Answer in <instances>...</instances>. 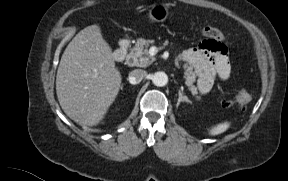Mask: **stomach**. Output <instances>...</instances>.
Listing matches in <instances>:
<instances>
[{
  "instance_id": "obj_1",
  "label": "stomach",
  "mask_w": 288,
  "mask_h": 181,
  "mask_svg": "<svg viewBox=\"0 0 288 181\" xmlns=\"http://www.w3.org/2000/svg\"><path fill=\"white\" fill-rule=\"evenodd\" d=\"M168 10L162 4L153 5L149 10V18L153 21H163L167 18Z\"/></svg>"
}]
</instances>
